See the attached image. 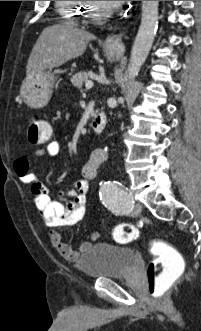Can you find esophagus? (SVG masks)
<instances>
[{"label":"esophagus","mask_w":201,"mask_h":331,"mask_svg":"<svg viewBox=\"0 0 201 331\" xmlns=\"http://www.w3.org/2000/svg\"><path fill=\"white\" fill-rule=\"evenodd\" d=\"M125 33L126 31H122L108 36L104 41L106 50L112 54H123L125 51V46L123 43Z\"/></svg>","instance_id":"34e87169"}]
</instances>
